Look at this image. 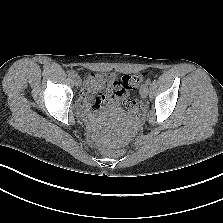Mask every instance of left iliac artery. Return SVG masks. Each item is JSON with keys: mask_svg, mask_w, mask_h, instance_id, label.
I'll return each instance as SVG.
<instances>
[{"mask_svg": "<svg viewBox=\"0 0 223 223\" xmlns=\"http://www.w3.org/2000/svg\"><path fill=\"white\" fill-rule=\"evenodd\" d=\"M151 83V81L150 80H147L146 82H145V85H149Z\"/></svg>", "mask_w": 223, "mask_h": 223, "instance_id": "left-iliac-artery-1", "label": "left iliac artery"}]
</instances>
